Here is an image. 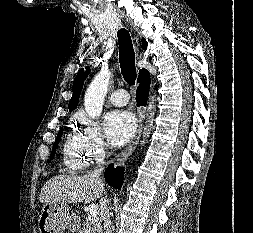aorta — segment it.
Wrapping results in <instances>:
<instances>
[{
	"instance_id": "1",
	"label": "aorta",
	"mask_w": 253,
	"mask_h": 233,
	"mask_svg": "<svg viewBox=\"0 0 253 233\" xmlns=\"http://www.w3.org/2000/svg\"><path fill=\"white\" fill-rule=\"evenodd\" d=\"M110 77L111 73L109 72L108 69L101 70L100 73L96 75V77L86 90L84 97V107L87 114L91 118L99 117L102 112L104 98L107 92ZM154 108L155 105L153 104V102H150L148 107L149 114L147 115L148 117L147 122L149 124H151L153 120L154 111L152 110ZM148 126H146L145 128L146 131L144 136L145 138L148 137L150 134V129L148 128Z\"/></svg>"
}]
</instances>
